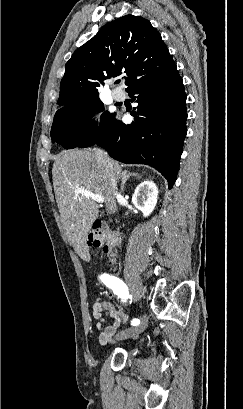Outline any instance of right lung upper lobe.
<instances>
[{"instance_id":"1","label":"right lung upper lobe","mask_w":243,"mask_h":409,"mask_svg":"<svg viewBox=\"0 0 243 409\" xmlns=\"http://www.w3.org/2000/svg\"><path fill=\"white\" fill-rule=\"evenodd\" d=\"M174 63L160 33L140 16L126 15L78 48L65 65L59 105L98 97L104 81L122 72L132 86L169 72Z\"/></svg>"}]
</instances>
